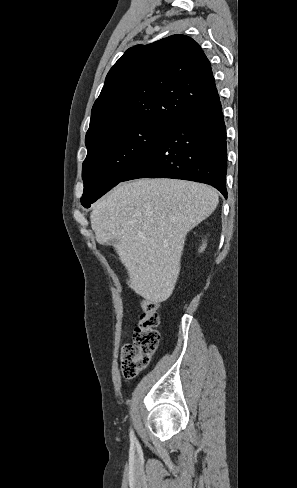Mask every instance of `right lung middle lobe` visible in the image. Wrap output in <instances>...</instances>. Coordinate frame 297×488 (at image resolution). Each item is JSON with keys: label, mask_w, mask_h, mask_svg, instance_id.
Here are the masks:
<instances>
[{"label": "right lung middle lobe", "mask_w": 297, "mask_h": 488, "mask_svg": "<svg viewBox=\"0 0 297 488\" xmlns=\"http://www.w3.org/2000/svg\"><path fill=\"white\" fill-rule=\"evenodd\" d=\"M169 126L162 122L130 125L88 147L82 167V205L89 208L91 203L121 182Z\"/></svg>", "instance_id": "1"}]
</instances>
